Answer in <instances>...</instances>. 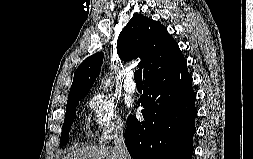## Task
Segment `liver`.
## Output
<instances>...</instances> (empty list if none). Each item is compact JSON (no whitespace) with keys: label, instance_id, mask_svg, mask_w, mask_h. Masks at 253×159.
<instances>
[{"label":"liver","instance_id":"obj_1","mask_svg":"<svg viewBox=\"0 0 253 159\" xmlns=\"http://www.w3.org/2000/svg\"><path fill=\"white\" fill-rule=\"evenodd\" d=\"M62 159H118L114 147L86 146L76 148Z\"/></svg>","mask_w":253,"mask_h":159}]
</instances>
